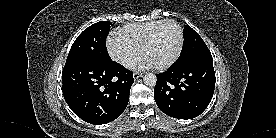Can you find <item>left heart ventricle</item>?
Returning <instances> with one entry per match:
<instances>
[{
  "label": "left heart ventricle",
  "mask_w": 276,
  "mask_h": 138,
  "mask_svg": "<svg viewBox=\"0 0 276 138\" xmlns=\"http://www.w3.org/2000/svg\"><path fill=\"white\" fill-rule=\"evenodd\" d=\"M179 41L178 29L173 24H165L159 29L144 55L148 56L157 66H160L174 57Z\"/></svg>",
  "instance_id": "1"
}]
</instances>
